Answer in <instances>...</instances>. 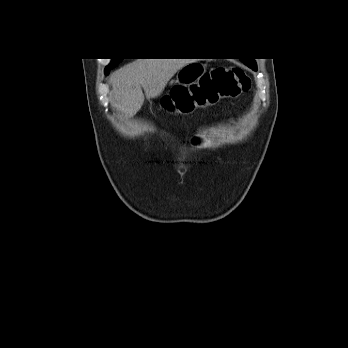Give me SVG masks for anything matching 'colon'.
Masks as SVG:
<instances>
[{
    "instance_id": "colon-1",
    "label": "colon",
    "mask_w": 348,
    "mask_h": 348,
    "mask_svg": "<svg viewBox=\"0 0 348 348\" xmlns=\"http://www.w3.org/2000/svg\"><path fill=\"white\" fill-rule=\"evenodd\" d=\"M251 80L239 67H216L201 75L191 86L176 87L162 101L164 109L183 113L198 106L196 97L202 95L205 101L232 98L249 91Z\"/></svg>"
}]
</instances>
